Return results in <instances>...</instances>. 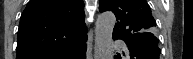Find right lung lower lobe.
<instances>
[{"label": "right lung lower lobe", "instance_id": "obj_1", "mask_svg": "<svg viewBox=\"0 0 193 59\" xmlns=\"http://www.w3.org/2000/svg\"><path fill=\"white\" fill-rule=\"evenodd\" d=\"M86 38L77 43L76 45L72 46L71 48L67 49L63 53L52 57V59H84L85 58V44Z\"/></svg>", "mask_w": 193, "mask_h": 59}]
</instances>
